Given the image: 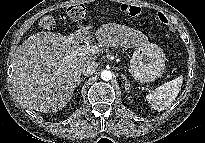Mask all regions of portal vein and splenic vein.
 <instances>
[{
    "label": "portal vein and splenic vein",
    "mask_w": 205,
    "mask_h": 143,
    "mask_svg": "<svg viewBox=\"0 0 205 143\" xmlns=\"http://www.w3.org/2000/svg\"><path fill=\"white\" fill-rule=\"evenodd\" d=\"M82 50H88L91 53L99 52V49L96 45H90L89 43H86L82 46V48L78 49L75 53H71L70 55H68L66 59L70 60L73 58V56L81 54Z\"/></svg>",
    "instance_id": "obj_1"
}]
</instances>
